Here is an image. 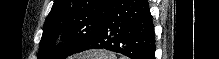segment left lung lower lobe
I'll list each match as a JSON object with an SVG mask.
<instances>
[{"mask_svg": "<svg viewBox=\"0 0 219 59\" xmlns=\"http://www.w3.org/2000/svg\"><path fill=\"white\" fill-rule=\"evenodd\" d=\"M106 49L131 59H154L155 32L147 0H113L94 36L75 53Z\"/></svg>", "mask_w": 219, "mask_h": 59, "instance_id": "0a47b994", "label": "left lung lower lobe"}]
</instances>
